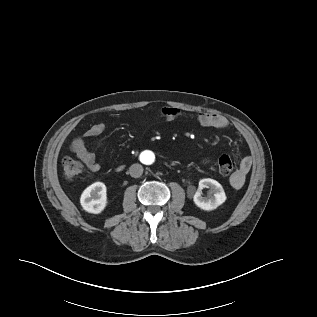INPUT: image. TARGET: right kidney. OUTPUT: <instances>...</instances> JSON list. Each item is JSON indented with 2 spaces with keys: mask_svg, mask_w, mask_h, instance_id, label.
<instances>
[{
  "mask_svg": "<svg viewBox=\"0 0 317 317\" xmlns=\"http://www.w3.org/2000/svg\"><path fill=\"white\" fill-rule=\"evenodd\" d=\"M80 203L89 213H101L107 205L105 184L98 181L88 186L81 194Z\"/></svg>",
  "mask_w": 317,
  "mask_h": 317,
  "instance_id": "ca27d5eb",
  "label": "right kidney"
}]
</instances>
